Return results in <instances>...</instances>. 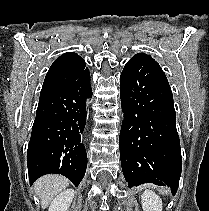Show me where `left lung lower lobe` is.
<instances>
[{
  "mask_svg": "<svg viewBox=\"0 0 209 211\" xmlns=\"http://www.w3.org/2000/svg\"><path fill=\"white\" fill-rule=\"evenodd\" d=\"M124 120L121 165L129 187L170 186L176 193L182 169L172 91L157 62L136 54L120 76Z\"/></svg>",
  "mask_w": 209,
  "mask_h": 211,
  "instance_id": "0a47b994",
  "label": "left lung lower lobe"
}]
</instances>
